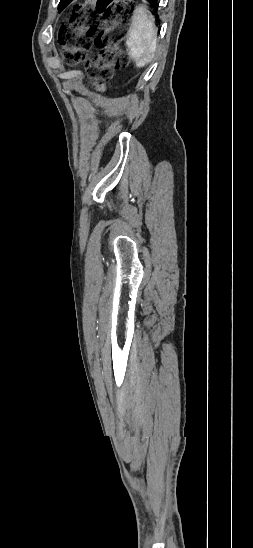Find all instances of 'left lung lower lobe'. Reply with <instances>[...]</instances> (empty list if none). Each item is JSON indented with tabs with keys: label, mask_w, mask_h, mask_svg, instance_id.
<instances>
[{
	"label": "left lung lower lobe",
	"mask_w": 253,
	"mask_h": 548,
	"mask_svg": "<svg viewBox=\"0 0 253 548\" xmlns=\"http://www.w3.org/2000/svg\"><path fill=\"white\" fill-rule=\"evenodd\" d=\"M72 0H61L59 3L58 9L61 11L63 8H65ZM152 7L157 10L158 8V0H147Z\"/></svg>",
	"instance_id": "left-lung-lower-lobe-1"
}]
</instances>
